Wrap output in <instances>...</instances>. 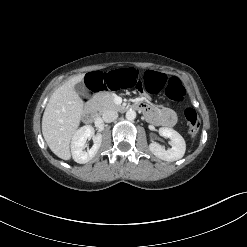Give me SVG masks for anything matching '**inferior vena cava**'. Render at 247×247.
I'll list each match as a JSON object with an SVG mask.
<instances>
[{
    "instance_id": "obj_1",
    "label": "inferior vena cava",
    "mask_w": 247,
    "mask_h": 247,
    "mask_svg": "<svg viewBox=\"0 0 247 247\" xmlns=\"http://www.w3.org/2000/svg\"><path fill=\"white\" fill-rule=\"evenodd\" d=\"M117 117H118L117 111L112 109L105 110L102 114L103 120L107 123L113 122L114 120L117 119Z\"/></svg>"
}]
</instances>
